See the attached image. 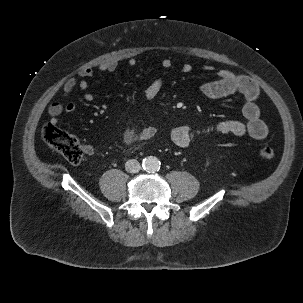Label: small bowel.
<instances>
[{
	"mask_svg": "<svg viewBox=\"0 0 303 303\" xmlns=\"http://www.w3.org/2000/svg\"><path fill=\"white\" fill-rule=\"evenodd\" d=\"M137 64L135 58L128 60V65L133 67ZM165 70L172 69V61L165 58L161 62ZM118 68L116 61L103 62L99 66L101 72H114ZM192 65L184 63L176 69L178 74H189L192 72ZM205 70L212 71V66H204ZM94 71L92 68L87 67L79 71L78 78L68 80L63 87V100L53 102L48 107L50 115V122L53 124L58 123L59 116L66 113H73L76 110V105L69 101L68 98L75 88L86 90L89 86V79L93 76ZM164 85V79L157 77L151 81L145 90V98L147 101H154L161 92ZM200 92L203 96L211 100H218L233 95H239L242 99V114L244 120H226L217 123L216 125L205 129L204 131H214L220 134H229L234 136L248 135L253 139H264L268 134V126L260 118V109L257 105V98L259 89L257 84L245 75H238L229 70H219L216 74V79L210 82H205L200 85ZM83 98L87 102H91L94 96L90 92H85ZM157 133L155 125L147 126L138 132L127 130L125 139L133 141L138 139L141 141L148 140ZM198 131L188 125H182L174 128L171 131L172 141L179 147H188ZM84 150L87 154L93 153V148L90 145H85Z\"/></svg>",
	"mask_w": 303,
	"mask_h": 303,
	"instance_id": "obj_1",
	"label": "small bowel"
}]
</instances>
